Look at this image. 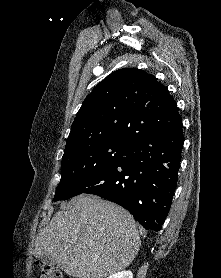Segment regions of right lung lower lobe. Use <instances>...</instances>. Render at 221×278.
<instances>
[{
	"instance_id": "obj_1",
	"label": "right lung lower lobe",
	"mask_w": 221,
	"mask_h": 278,
	"mask_svg": "<svg viewBox=\"0 0 221 278\" xmlns=\"http://www.w3.org/2000/svg\"><path fill=\"white\" fill-rule=\"evenodd\" d=\"M177 126L130 141L124 155L73 196L98 195L124 207L147 230L160 231L170 210L184 143Z\"/></svg>"
}]
</instances>
